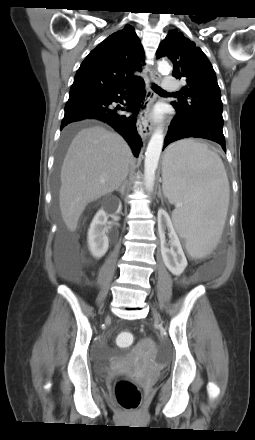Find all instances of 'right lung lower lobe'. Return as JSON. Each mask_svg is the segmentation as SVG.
I'll use <instances>...</instances> for the list:
<instances>
[{
	"label": "right lung lower lobe",
	"instance_id": "obj_1",
	"mask_svg": "<svg viewBox=\"0 0 255 440\" xmlns=\"http://www.w3.org/2000/svg\"><path fill=\"white\" fill-rule=\"evenodd\" d=\"M126 107H113L112 102H121L125 95ZM145 97L144 81L137 78L121 84L115 88L69 96L65 106V115L61 129L67 124L83 119H98L111 125L120 133L130 145L133 154L137 157L142 146V140L136 128L134 116L139 112L141 102ZM119 111L133 112V116H126Z\"/></svg>",
	"mask_w": 255,
	"mask_h": 440
}]
</instances>
